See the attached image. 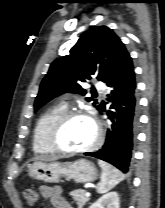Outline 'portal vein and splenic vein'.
<instances>
[{
	"instance_id": "18ae733b",
	"label": "portal vein and splenic vein",
	"mask_w": 165,
	"mask_h": 208,
	"mask_svg": "<svg viewBox=\"0 0 165 208\" xmlns=\"http://www.w3.org/2000/svg\"><path fill=\"white\" fill-rule=\"evenodd\" d=\"M85 196H86V197H90V193H89V192H86V193H85Z\"/></svg>"
}]
</instances>
